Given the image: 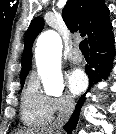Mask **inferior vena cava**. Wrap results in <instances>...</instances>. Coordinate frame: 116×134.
Wrapping results in <instances>:
<instances>
[{"label": "inferior vena cava", "instance_id": "inferior-vena-cava-1", "mask_svg": "<svg viewBox=\"0 0 116 134\" xmlns=\"http://www.w3.org/2000/svg\"><path fill=\"white\" fill-rule=\"evenodd\" d=\"M74 100L72 98H67L65 101V104L63 108L61 109L60 113L58 114L57 119L53 123L52 128L56 130L57 132H60L64 124L68 121L70 118L73 110H74Z\"/></svg>", "mask_w": 116, "mask_h": 134}]
</instances>
